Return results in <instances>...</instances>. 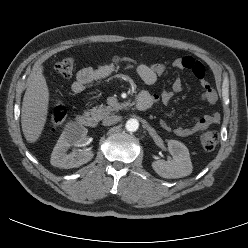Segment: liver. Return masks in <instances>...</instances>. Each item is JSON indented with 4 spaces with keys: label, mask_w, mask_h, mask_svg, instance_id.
I'll return each instance as SVG.
<instances>
[{
    "label": "liver",
    "mask_w": 248,
    "mask_h": 248,
    "mask_svg": "<svg viewBox=\"0 0 248 248\" xmlns=\"http://www.w3.org/2000/svg\"><path fill=\"white\" fill-rule=\"evenodd\" d=\"M48 103L49 90L43 75V68L39 67L30 78L21 110L22 131L29 143L36 142L44 129Z\"/></svg>",
    "instance_id": "6515ba94"
}]
</instances>
